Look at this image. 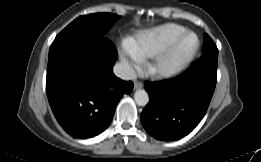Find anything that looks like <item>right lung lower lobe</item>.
Returning <instances> with one entry per match:
<instances>
[{"mask_svg": "<svg viewBox=\"0 0 261 162\" xmlns=\"http://www.w3.org/2000/svg\"><path fill=\"white\" fill-rule=\"evenodd\" d=\"M93 48L85 49V42ZM114 44L96 34L54 40L47 66L46 92L52 112L74 138L94 137L112 121L123 94L133 83L117 78Z\"/></svg>", "mask_w": 261, "mask_h": 162, "instance_id": "1", "label": "right lung lower lobe"}]
</instances>
